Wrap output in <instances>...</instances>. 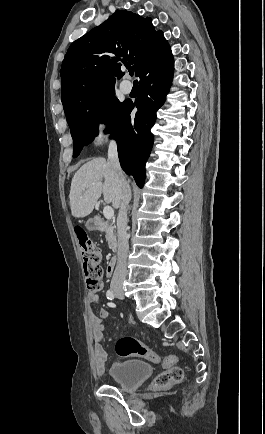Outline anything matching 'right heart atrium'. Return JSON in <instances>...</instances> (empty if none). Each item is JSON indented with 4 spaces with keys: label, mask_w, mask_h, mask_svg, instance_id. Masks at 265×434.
Returning a JSON list of instances; mask_svg holds the SVG:
<instances>
[{
    "label": "right heart atrium",
    "mask_w": 265,
    "mask_h": 434,
    "mask_svg": "<svg viewBox=\"0 0 265 434\" xmlns=\"http://www.w3.org/2000/svg\"><path fill=\"white\" fill-rule=\"evenodd\" d=\"M109 118L106 115H95L94 132L90 133V140L97 141L96 145L99 148H118L120 142L118 139H110L109 131H115L117 125L115 122H108Z\"/></svg>",
    "instance_id": "1"
}]
</instances>
